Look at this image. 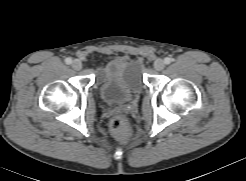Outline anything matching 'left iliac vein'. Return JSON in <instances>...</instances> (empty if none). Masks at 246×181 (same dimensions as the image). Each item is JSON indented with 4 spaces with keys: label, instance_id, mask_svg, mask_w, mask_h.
<instances>
[{
    "label": "left iliac vein",
    "instance_id": "4c4485c4",
    "mask_svg": "<svg viewBox=\"0 0 246 181\" xmlns=\"http://www.w3.org/2000/svg\"><path fill=\"white\" fill-rule=\"evenodd\" d=\"M165 67V62L162 60V59H157L155 62H154V68L158 71L164 69Z\"/></svg>",
    "mask_w": 246,
    "mask_h": 181
}]
</instances>
